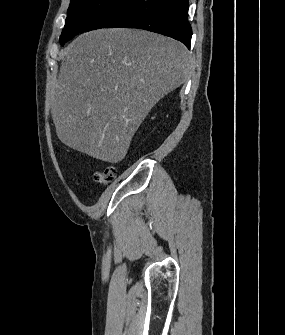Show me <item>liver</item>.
Wrapping results in <instances>:
<instances>
[{"instance_id":"1","label":"liver","mask_w":285,"mask_h":335,"mask_svg":"<svg viewBox=\"0 0 285 335\" xmlns=\"http://www.w3.org/2000/svg\"><path fill=\"white\" fill-rule=\"evenodd\" d=\"M51 92L56 134L68 148L102 162L125 158L155 104L189 76L183 44L141 30H94L63 52Z\"/></svg>"}]
</instances>
